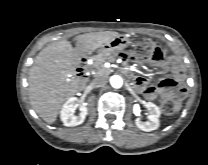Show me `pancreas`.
<instances>
[{
    "label": "pancreas",
    "instance_id": "cf45deb5",
    "mask_svg": "<svg viewBox=\"0 0 208 165\" xmlns=\"http://www.w3.org/2000/svg\"><path fill=\"white\" fill-rule=\"evenodd\" d=\"M114 60H115L114 56H112L109 53L103 52L93 57V61H94L93 65L96 68L98 74L108 73L109 70L105 69L103 64L106 61H114Z\"/></svg>",
    "mask_w": 208,
    "mask_h": 165
}]
</instances>
